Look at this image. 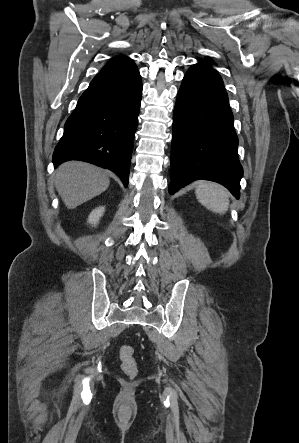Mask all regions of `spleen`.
I'll return each instance as SVG.
<instances>
[{
	"label": "spleen",
	"mask_w": 299,
	"mask_h": 443,
	"mask_svg": "<svg viewBox=\"0 0 299 443\" xmlns=\"http://www.w3.org/2000/svg\"><path fill=\"white\" fill-rule=\"evenodd\" d=\"M195 193L201 204L209 210L220 214L227 211L229 196L222 186L211 182H199Z\"/></svg>",
	"instance_id": "obj_1"
}]
</instances>
